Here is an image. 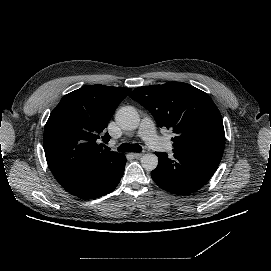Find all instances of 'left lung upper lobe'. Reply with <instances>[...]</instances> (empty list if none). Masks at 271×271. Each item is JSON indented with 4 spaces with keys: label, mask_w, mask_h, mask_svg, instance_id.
Instances as JSON below:
<instances>
[{
    "label": "left lung upper lobe",
    "mask_w": 271,
    "mask_h": 271,
    "mask_svg": "<svg viewBox=\"0 0 271 271\" xmlns=\"http://www.w3.org/2000/svg\"><path fill=\"white\" fill-rule=\"evenodd\" d=\"M153 115L159 127L173 128L174 149L196 148L222 152L225 132L221 114L203 91L183 82L143 86L130 93Z\"/></svg>",
    "instance_id": "1"
}]
</instances>
